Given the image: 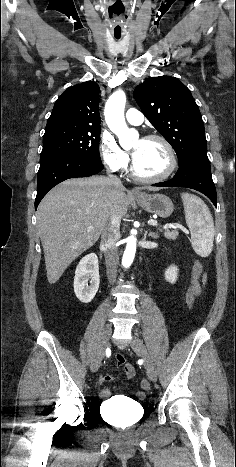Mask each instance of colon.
<instances>
[{
	"instance_id": "obj_1",
	"label": "colon",
	"mask_w": 236,
	"mask_h": 467,
	"mask_svg": "<svg viewBox=\"0 0 236 467\" xmlns=\"http://www.w3.org/2000/svg\"><path fill=\"white\" fill-rule=\"evenodd\" d=\"M203 274V265L199 260H196L193 265V270H192V280L191 283L192 285H195L196 282L201 278ZM187 305L191 307L194 302V295L192 294L191 291L188 292L187 297H186ZM123 356L121 355V358ZM131 373V372H130ZM143 387H148V383L146 381L142 382ZM137 397L138 398H143L144 393L139 391L137 392Z\"/></svg>"
}]
</instances>
